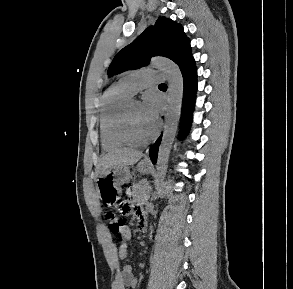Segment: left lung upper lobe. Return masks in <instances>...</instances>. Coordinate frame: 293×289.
Listing matches in <instances>:
<instances>
[{"mask_svg":"<svg viewBox=\"0 0 293 289\" xmlns=\"http://www.w3.org/2000/svg\"><path fill=\"white\" fill-rule=\"evenodd\" d=\"M152 56H164L179 67L191 57L190 40L183 27L166 17H159L131 44L120 50L108 69L109 76L145 66Z\"/></svg>","mask_w":293,"mask_h":289,"instance_id":"5c2ea615","label":"left lung upper lobe"}]
</instances>
